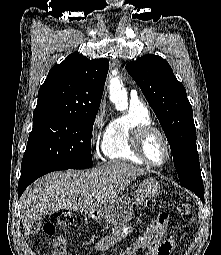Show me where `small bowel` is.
Returning <instances> with one entry per match:
<instances>
[{
    "label": "small bowel",
    "mask_w": 221,
    "mask_h": 255,
    "mask_svg": "<svg viewBox=\"0 0 221 255\" xmlns=\"http://www.w3.org/2000/svg\"><path fill=\"white\" fill-rule=\"evenodd\" d=\"M132 231L133 228L131 225L121 226L112 233L102 237L95 244L94 250L99 253L105 252L124 238L130 236ZM164 231L165 229L152 235L145 232L138 238L137 242L132 248L120 255H137L144 249H147L146 255H171L175 243L172 239L163 238Z\"/></svg>",
    "instance_id": "1"
}]
</instances>
